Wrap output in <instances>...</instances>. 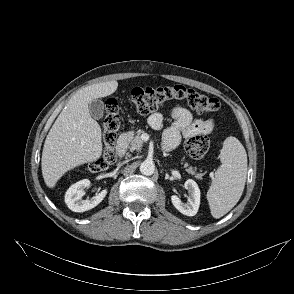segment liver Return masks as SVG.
Returning a JSON list of instances; mask_svg holds the SVG:
<instances>
[{"mask_svg":"<svg viewBox=\"0 0 294 294\" xmlns=\"http://www.w3.org/2000/svg\"><path fill=\"white\" fill-rule=\"evenodd\" d=\"M117 87L115 80L93 84L69 99L44 143L41 169L47 187L54 188L67 171L100 158L102 132L91 117L88 104L113 94Z\"/></svg>","mask_w":294,"mask_h":294,"instance_id":"liver-1","label":"liver"}]
</instances>
